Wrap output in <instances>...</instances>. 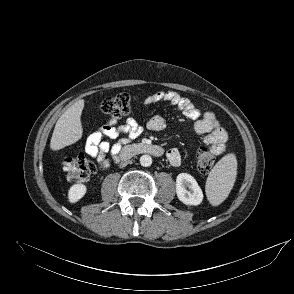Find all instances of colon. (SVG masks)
Returning <instances> with one entry per match:
<instances>
[{
  "label": "colon",
  "instance_id": "1",
  "mask_svg": "<svg viewBox=\"0 0 294 294\" xmlns=\"http://www.w3.org/2000/svg\"><path fill=\"white\" fill-rule=\"evenodd\" d=\"M134 101L135 98L128 93H118L106 98L100 108L104 114L117 118L129 114ZM196 159L198 170L202 174H207L214 165L215 155L210 147L203 146L197 152ZM100 164L103 166L102 163ZM62 167L71 182L85 181L97 170L96 164L83 155L66 156L62 161Z\"/></svg>",
  "mask_w": 294,
  "mask_h": 294
}]
</instances>
